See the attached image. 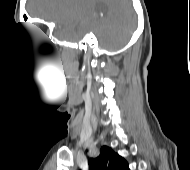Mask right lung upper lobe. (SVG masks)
I'll return each instance as SVG.
<instances>
[{
    "label": "right lung upper lobe",
    "mask_w": 190,
    "mask_h": 170,
    "mask_svg": "<svg viewBox=\"0 0 190 170\" xmlns=\"http://www.w3.org/2000/svg\"><path fill=\"white\" fill-rule=\"evenodd\" d=\"M89 170H129L126 160L111 148L103 146L97 157L88 161Z\"/></svg>",
    "instance_id": "cb5924a9"
}]
</instances>
